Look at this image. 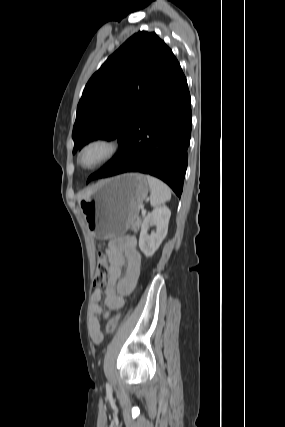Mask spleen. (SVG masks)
Segmentation results:
<instances>
[{"label":"spleen","instance_id":"spleen-1","mask_svg":"<svg viewBox=\"0 0 285 427\" xmlns=\"http://www.w3.org/2000/svg\"><path fill=\"white\" fill-rule=\"evenodd\" d=\"M150 187V203L154 208L161 207L171 199V190L161 180L146 175Z\"/></svg>","mask_w":285,"mask_h":427}]
</instances>
